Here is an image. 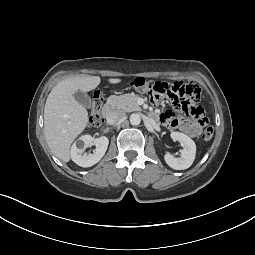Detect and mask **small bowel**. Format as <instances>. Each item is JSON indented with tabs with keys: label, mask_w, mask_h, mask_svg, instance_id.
<instances>
[{
	"label": "small bowel",
	"mask_w": 255,
	"mask_h": 255,
	"mask_svg": "<svg viewBox=\"0 0 255 255\" xmlns=\"http://www.w3.org/2000/svg\"><path fill=\"white\" fill-rule=\"evenodd\" d=\"M154 116L157 117L164 126L168 128L179 129L190 136L196 137L201 132L200 125L184 119L182 117H177L172 111L167 110L162 113H154Z\"/></svg>",
	"instance_id": "c3829d8e"
}]
</instances>
